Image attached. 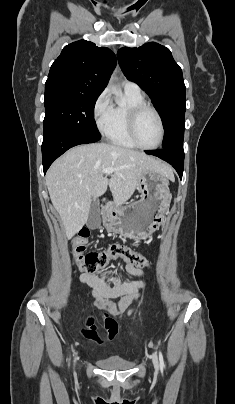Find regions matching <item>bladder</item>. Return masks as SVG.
<instances>
[{
  "instance_id": "31cf9c89",
  "label": "bladder",
  "mask_w": 235,
  "mask_h": 404,
  "mask_svg": "<svg viewBox=\"0 0 235 404\" xmlns=\"http://www.w3.org/2000/svg\"><path fill=\"white\" fill-rule=\"evenodd\" d=\"M97 363L100 366L105 367V368L119 369V370L128 369L132 366V363H130V362L118 361L113 358L102 359V360H99Z\"/></svg>"
}]
</instances>
